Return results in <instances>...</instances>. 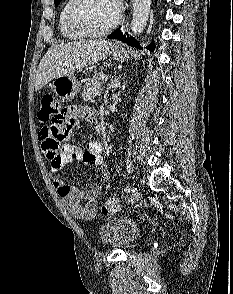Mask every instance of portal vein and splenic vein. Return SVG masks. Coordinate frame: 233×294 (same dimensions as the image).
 Instances as JSON below:
<instances>
[{"instance_id":"obj_1","label":"portal vein and splenic vein","mask_w":233,"mask_h":294,"mask_svg":"<svg viewBox=\"0 0 233 294\" xmlns=\"http://www.w3.org/2000/svg\"><path fill=\"white\" fill-rule=\"evenodd\" d=\"M108 80V76H103L102 77V81H107Z\"/></svg>"}]
</instances>
